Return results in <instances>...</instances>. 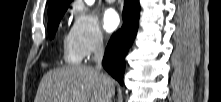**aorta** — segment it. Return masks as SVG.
<instances>
[{
    "label": "aorta",
    "mask_w": 221,
    "mask_h": 102,
    "mask_svg": "<svg viewBox=\"0 0 221 102\" xmlns=\"http://www.w3.org/2000/svg\"><path fill=\"white\" fill-rule=\"evenodd\" d=\"M95 0H85V2L88 4V5H92L94 3Z\"/></svg>",
    "instance_id": "1"
}]
</instances>
